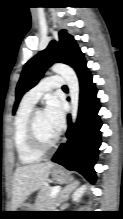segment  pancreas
Here are the masks:
<instances>
[{
	"mask_svg": "<svg viewBox=\"0 0 123 219\" xmlns=\"http://www.w3.org/2000/svg\"><path fill=\"white\" fill-rule=\"evenodd\" d=\"M52 187L45 186L41 189V191L38 194L37 201L35 204V208L38 211H50L52 208H54L56 201L59 198V195H57L54 199L50 197Z\"/></svg>",
	"mask_w": 123,
	"mask_h": 219,
	"instance_id": "obj_1",
	"label": "pancreas"
}]
</instances>
